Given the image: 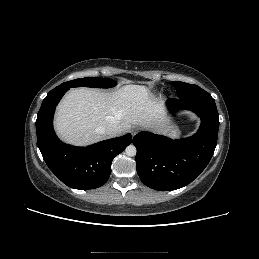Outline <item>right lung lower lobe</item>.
I'll list each match as a JSON object with an SVG mask.
<instances>
[{
  "mask_svg": "<svg viewBox=\"0 0 259 259\" xmlns=\"http://www.w3.org/2000/svg\"><path fill=\"white\" fill-rule=\"evenodd\" d=\"M69 88L51 90L37 115L38 147L49 169L67 186L95 189L106 183L111 163L132 142L130 134L105 140L87 147L62 143L53 129L55 107Z\"/></svg>",
  "mask_w": 259,
  "mask_h": 259,
  "instance_id": "obj_1",
  "label": "right lung lower lobe"
}]
</instances>
